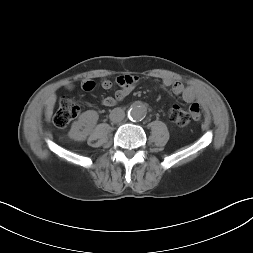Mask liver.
Here are the masks:
<instances>
[{"label":"liver","mask_w":253,"mask_h":253,"mask_svg":"<svg viewBox=\"0 0 253 253\" xmlns=\"http://www.w3.org/2000/svg\"><path fill=\"white\" fill-rule=\"evenodd\" d=\"M55 102H56V95L52 93L50 94V96L48 97L46 101L45 118L47 122H49L51 119Z\"/></svg>","instance_id":"liver-1"}]
</instances>
